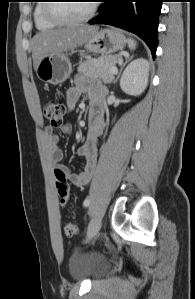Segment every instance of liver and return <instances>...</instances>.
<instances>
[{
	"mask_svg": "<svg viewBox=\"0 0 195 299\" xmlns=\"http://www.w3.org/2000/svg\"><path fill=\"white\" fill-rule=\"evenodd\" d=\"M96 31H98L96 26L79 25L37 33L32 40L34 69L37 70L43 57L73 50L82 45Z\"/></svg>",
	"mask_w": 195,
	"mask_h": 299,
	"instance_id": "6515ba94",
	"label": "liver"
}]
</instances>
